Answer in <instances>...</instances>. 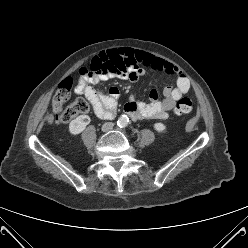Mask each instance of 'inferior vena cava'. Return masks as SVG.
Returning a JSON list of instances; mask_svg holds the SVG:
<instances>
[{"mask_svg":"<svg viewBox=\"0 0 248 248\" xmlns=\"http://www.w3.org/2000/svg\"><path fill=\"white\" fill-rule=\"evenodd\" d=\"M113 126H114V123H112V122H106V123H104L102 125V131L103 132H108V131H110L113 128Z\"/></svg>","mask_w":248,"mask_h":248,"instance_id":"obj_1","label":"inferior vena cava"}]
</instances>
